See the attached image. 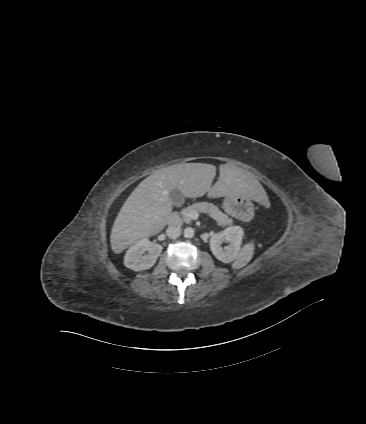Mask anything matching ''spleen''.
<instances>
[{"instance_id":"spleen-1","label":"spleen","mask_w":366,"mask_h":424,"mask_svg":"<svg viewBox=\"0 0 366 424\" xmlns=\"http://www.w3.org/2000/svg\"><path fill=\"white\" fill-rule=\"evenodd\" d=\"M253 254H254V242L250 241L246 243L240 250L239 254L237 255L233 263V269H240L246 266L252 259Z\"/></svg>"}]
</instances>
